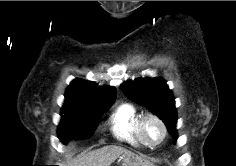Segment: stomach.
Here are the masks:
<instances>
[{"label": "stomach", "mask_w": 236, "mask_h": 166, "mask_svg": "<svg viewBox=\"0 0 236 166\" xmlns=\"http://www.w3.org/2000/svg\"><path fill=\"white\" fill-rule=\"evenodd\" d=\"M122 161H123L122 166H132L130 162L133 161V157L132 156H124L122 158Z\"/></svg>", "instance_id": "obj_1"}]
</instances>
